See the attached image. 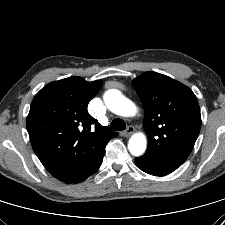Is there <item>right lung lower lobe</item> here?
Listing matches in <instances>:
<instances>
[{"instance_id": "right-lung-lower-lobe-1", "label": "right lung lower lobe", "mask_w": 225, "mask_h": 225, "mask_svg": "<svg viewBox=\"0 0 225 225\" xmlns=\"http://www.w3.org/2000/svg\"><path fill=\"white\" fill-rule=\"evenodd\" d=\"M107 143L105 145H103L102 148L99 150L98 157L96 158L92 167H90L89 169L79 173L78 175H76L74 177L63 180L62 182L78 183V182L84 181L87 177H89L94 172H96L98 170V168L100 167L101 163H102L103 156H104V153H105V147H106Z\"/></svg>"}]
</instances>
